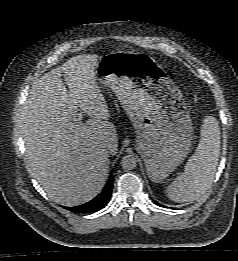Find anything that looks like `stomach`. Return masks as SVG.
<instances>
[{
    "instance_id": "1",
    "label": "stomach",
    "mask_w": 238,
    "mask_h": 261,
    "mask_svg": "<svg viewBox=\"0 0 238 261\" xmlns=\"http://www.w3.org/2000/svg\"><path fill=\"white\" fill-rule=\"evenodd\" d=\"M96 77L112 89L136 130V149L153 182L165 180L186 158L193 142L190 113L163 70L144 55L101 57Z\"/></svg>"
}]
</instances>
